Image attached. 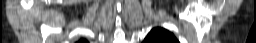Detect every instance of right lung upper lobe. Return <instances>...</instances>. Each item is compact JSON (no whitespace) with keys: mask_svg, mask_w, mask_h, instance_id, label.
<instances>
[{"mask_svg":"<svg viewBox=\"0 0 256 43\" xmlns=\"http://www.w3.org/2000/svg\"><path fill=\"white\" fill-rule=\"evenodd\" d=\"M77 43H88L86 40L81 39L80 41H78Z\"/></svg>","mask_w":256,"mask_h":43,"instance_id":"right-lung-upper-lobe-1","label":"right lung upper lobe"}]
</instances>
